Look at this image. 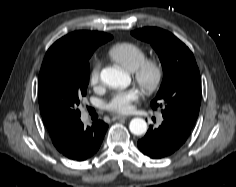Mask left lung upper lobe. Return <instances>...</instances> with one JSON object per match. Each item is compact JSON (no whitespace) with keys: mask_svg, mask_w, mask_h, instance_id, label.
Instances as JSON below:
<instances>
[{"mask_svg":"<svg viewBox=\"0 0 236 187\" xmlns=\"http://www.w3.org/2000/svg\"><path fill=\"white\" fill-rule=\"evenodd\" d=\"M131 34L149 42L157 52L163 69V81L151 107L163 108V116L193 127L201 103V78L190 49L172 33L156 27H144Z\"/></svg>","mask_w":236,"mask_h":187,"instance_id":"5c2ea615","label":"left lung upper lobe"}]
</instances>
